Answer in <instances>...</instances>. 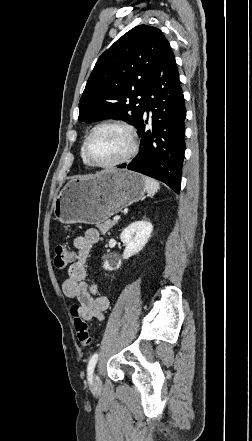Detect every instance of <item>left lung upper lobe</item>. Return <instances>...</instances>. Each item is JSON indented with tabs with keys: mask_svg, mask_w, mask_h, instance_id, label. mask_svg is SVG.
<instances>
[{
	"mask_svg": "<svg viewBox=\"0 0 252 441\" xmlns=\"http://www.w3.org/2000/svg\"><path fill=\"white\" fill-rule=\"evenodd\" d=\"M162 32L139 25L125 33L97 60L79 102V121L121 119L138 128L146 92L161 48Z\"/></svg>",
	"mask_w": 252,
	"mask_h": 441,
	"instance_id": "left-lung-upper-lobe-1",
	"label": "left lung upper lobe"
}]
</instances>
